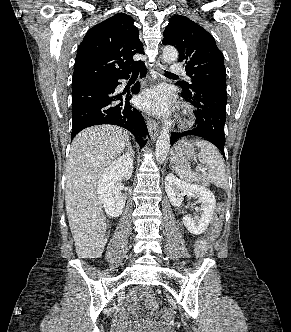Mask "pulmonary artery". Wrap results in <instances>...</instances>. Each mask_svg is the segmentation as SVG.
<instances>
[{
	"mask_svg": "<svg viewBox=\"0 0 291 332\" xmlns=\"http://www.w3.org/2000/svg\"><path fill=\"white\" fill-rule=\"evenodd\" d=\"M170 70L174 74H183L184 73V69L179 63H173L170 66Z\"/></svg>",
	"mask_w": 291,
	"mask_h": 332,
	"instance_id": "obj_1",
	"label": "pulmonary artery"
}]
</instances>
